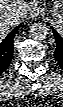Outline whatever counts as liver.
<instances>
[{
    "mask_svg": "<svg viewBox=\"0 0 63 107\" xmlns=\"http://www.w3.org/2000/svg\"><path fill=\"white\" fill-rule=\"evenodd\" d=\"M27 6L25 0H0V39H3L12 27L26 18ZM16 13L19 19L12 25L8 19Z\"/></svg>",
    "mask_w": 63,
    "mask_h": 107,
    "instance_id": "liver-1",
    "label": "liver"
}]
</instances>
